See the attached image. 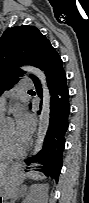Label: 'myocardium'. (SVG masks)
<instances>
[{"mask_svg":"<svg viewBox=\"0 0 89 203\" xmlns=\"http://www.w3.org/2000/svg\"><path fill=\"white\" fill-rule=\"evenodd\" d=\"M0 143H1L2 152L5 154V156L7 158H17V157L23 156L30 145V142H27L24 148H22L16 152H11L7 148V144H6L4 135H3V128H1V130H0Z\"/></svg>","mask_w":89,"mask_h":203,"instance_id":"obj_1","label":"myocardium"}]
</instances>
